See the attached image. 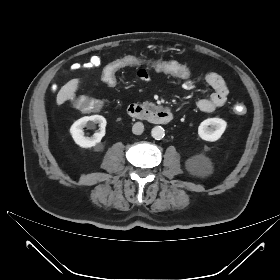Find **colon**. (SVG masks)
<instances>
[{"label": "colon", "mask_w": 280, "mask_h": 280, "mask_svg": "<svg viewBox=\"0 0 280 280\" xmlns=\"http://www.w3.org/2000/svg\"><path fill=\"white\" fill-rule=\"evenodd\" d=\"M143 68L156 71L162 76L170 78L175 81L186 82L189 78L193 77L194 70L191 67L184 65L181 60H169L163 57L154 56H140L127 54L124 58H116L109 65L104 66L102 77L105 83L112 85L115 83L117 72H124L127 68ZM79 66L73 68L78 69ZM77 108L84 110L88 115H94L100 112L104 108V102L100 98H89L79 96L75 100ZM234 112L237 115H243L246 113V107L243 104H236L234 106Z\"/></svg>", "instance_id": "5ec220e1"}]
</instances>
